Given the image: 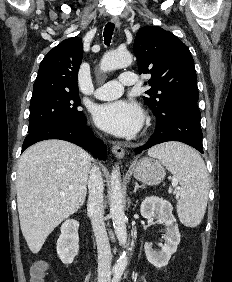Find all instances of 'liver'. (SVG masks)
<instances>
[{
    "label": "liver",
    "instance_id": "6515ba94",
    "mask_svg": "<svg viewBox=\"0 0 232 282\" xmlns=\"http://www.w3.org/2000/svg\"><path fill=\"white\" fill-rule=\"evenodd\" d=\"M90 165L86 151L63 140L38 142L22 154L17 205L21 231L32 253H38L48 235L83 205Z\"/></svg>",
    "mask_w": 232,
    "mask_h": 282
}]
</instances>
